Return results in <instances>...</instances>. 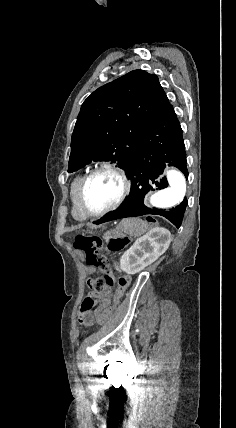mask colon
<instances>
[{"label": "colon", "instance_id": "obj_1", "mask_svg": "<svg viewBox=\"0 0 236 428\" xmlns=\"http://www.w3.org/2000/svg\"><path fill=\"white\" fill-rule=\"evenodd\" d=\"M129 244V238L126 236L112 237L107 242V247L111 251H121ZM74 248L84 255L85 261L89 266L99 269L102 277L90 278L87 282L90 294L84 299L80 311V322L86 323L89 320L96 319L98 323L103 324L110 319L115 309L120 304L121 299L128 288L131 277L129 275L117 276L110 267L108 259L100 253L103 247V241L97 237L77 235L75 237ZM117 286L113 296L112 304L108 306L97 305L98 295Z\"/></svg>", "mask_w": 236, "mask_h": 428}]
</instances>
